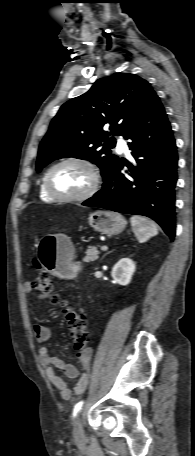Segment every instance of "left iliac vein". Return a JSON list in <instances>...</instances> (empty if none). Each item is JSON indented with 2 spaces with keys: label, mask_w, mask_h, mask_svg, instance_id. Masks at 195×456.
<instances>
[{
  "label": "left iliac vein",
  "mask_w": 195,
  "mask_h": 456,
  "mask_svg": "<svg viewBox=\"0 0 195 456\" xmlns=\"http://www.w3.org/2000/svg\"><path fill=\"white\" fill-rule=\"evenodd\" d=\"M73 436L75 441H81L84 438V430L80 414H78L73 421Z\"/></svg>",
  "instance_id": "obj_1"
}]
</instances>
